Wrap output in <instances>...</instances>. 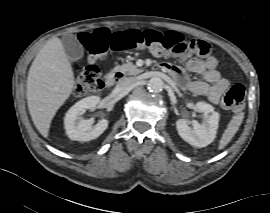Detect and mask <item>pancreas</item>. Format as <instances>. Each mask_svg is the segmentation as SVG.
Listing matches in <instances>:
<instances>
[{
	"instance_id": "obj_1",
	"label": "pancreas",
	"mask_w": 270,
	"mask_h": 213,
	"mask_svg": "<svg viewBox=\"0 0 270 213\" xmlns=\"http://www.w3.org/2000/svg\"><path fill=\"white\" fill-rule=\"evenodd\" d=\"M114 70L119 71L123 75H128V76H135L144 71L143 69L138 68L132 62H128L120 66H116Z\"/></svg>"
}]
</instances>
